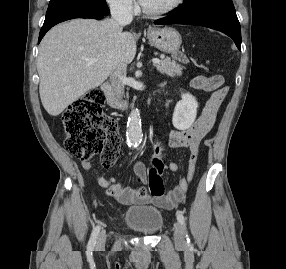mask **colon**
<instances>
[{"label":"colon","mask_w":286,"mask_h":269,"mask_svg":"<svg viewBox=\"0 0 286 269\" xmlns=\"http://www.w3.org/2000/svg\"><path fill=\"white\" fill-rule=\"evenodd\" d=\"M176 62H184L189 66L193 57H187L189 49H173ZM209 77V78H205ZM191 88L206 91L207 100H203L201 110H222L228 88L223 83L221 75L197 76L192 78ZM103 95L98 90H91L75 100L63 113L62 123L65 133V148L74 157L88 161L95 155H100L101 164L105 168L115 165L121 147V138L116 121L102 113ZM155 154H151V163L147 175L148 188L153 196L164 194L163 172L169 157L167 143L157 139L153 143ZM119 185L110 190L116 195ZM144 193V190H140Z\"/></svg>","instance_id":"1"}]
</instances>
